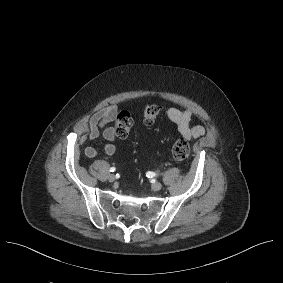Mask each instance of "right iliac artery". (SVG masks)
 <instances>
[{
    "label": "right iliac artery",
    "instance_id": "82829eb1",
    "mask_svg": "<svg viewBox=\"0 0 283 283\" xmlns=\"http://www.w3.org/2000/svg\"><path fill=\"white\" fill-rule=\"evenodd\" d=\"M115 170H116L115 167H111V168H110V172H114Z\"/></svg>",
    "mask_w": 283,
    "mask_h": 283
}]
</instances>
